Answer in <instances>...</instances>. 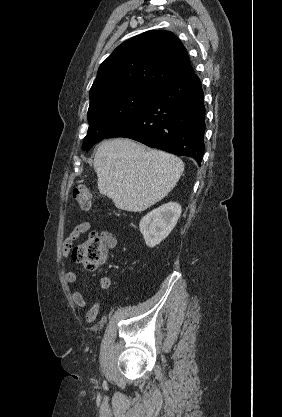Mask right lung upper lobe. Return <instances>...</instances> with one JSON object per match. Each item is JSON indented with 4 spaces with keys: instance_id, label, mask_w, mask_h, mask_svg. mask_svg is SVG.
<instances>
[{
    "instance_id": "cb5924a9",
    "label": "right lung upper lobe",
    "mask_w": 282,
    "mask_h": 417,
    "mask_svg": "<svg viewBox=\"0 0 282 417\" xmlns=\"http://www.w3.org/2000/svg\"><path fill=\"white\" fill-rule=\"evenodd\" d=\"M193 73L181 41L172 32L152 30L123 42L100 65L90 97L132 88L159 91Z\"/></svg>"
}]
</instances>
